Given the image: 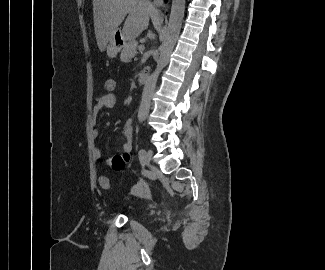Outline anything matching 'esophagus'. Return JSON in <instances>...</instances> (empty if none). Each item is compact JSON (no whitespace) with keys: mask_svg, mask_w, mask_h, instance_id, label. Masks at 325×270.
Masks as SVG:
<instances>
[{"mask_svg":"<svg viewBox=\"0 0 325 270\" xmlns=\"http://www.w3.org/2000/svg\"><path fill=\"white\" fill-rule=\"evenodd\" d=\"M154 3L158 6H161L163 4V0H154Z\"/></svg>","mask_w":325,"mask_h":270,"instance_id":"1","label":"esophagus"}]
</instances>
